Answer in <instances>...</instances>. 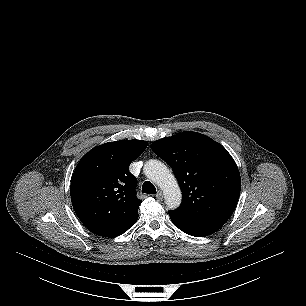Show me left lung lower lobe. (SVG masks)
<instances>
[{
	"label": "left lung lower lobe",
	"mask_w": 306,
	"mask_h": 306,
	"mask_svg": "<svg viewBox=\"0 0 306 306\" xmlns=\"http://www.w3.org/2000/svg\"><path fill=\"white\" fill-rule=\"evenodd\" d=\"M169 216L173 224L178 227L183 232L196 237H204L216 232L220 227L214 225H204L197 224L191 221L185 220L175 214L172 211H169Z\"/></svg>",
	"instance_id": "1"
}]
</instances>
